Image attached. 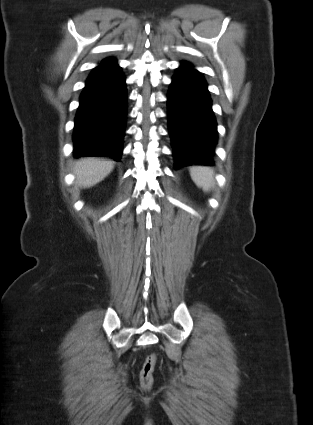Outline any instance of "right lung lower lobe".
I'll return each instance as SVG.
<instances>
[{
  "instance_id": "obj_1",
  "label": "right lung lower lobe",
  "mask_w": 313,
  "mask_h": 425,
  "mask_svg": "<svg viewBox=\"0 0 313 425\" xmlns=\"http://www.w3.org/2000/svg\"><path fill=\"white\" fill-rule=\"evenodd\" d=\"M127 115L125 77L114 58L104 59L89 75L75 117L74 157L122 154Z\"/></svg>"
}]
</instances>
